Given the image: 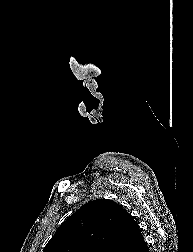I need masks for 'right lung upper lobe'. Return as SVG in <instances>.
I'll use <instances>...</instances> for the list:
<instances>
[{
    "mask_svg": "<svg viewBox=\"0 0 193 252\" xmlns=\"http://www.w3.org/2000/svg\"><path fill=\"white\" fill-rule=\"evenodd\" d=\"M142 239L138 224L122 206L98 199L69 216L43 252H131Z\"/></svg>",
    "mask_w": 193,
    "mask_h": 252,
    "instance_id": "obj_1",
    "label": "right lung upper lobe"
}]
</instances>
